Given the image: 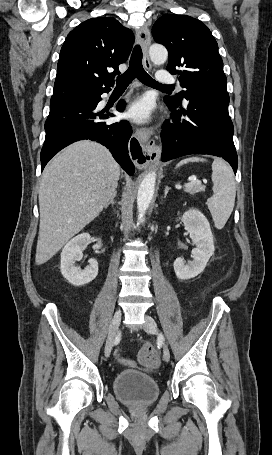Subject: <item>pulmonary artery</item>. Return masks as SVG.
I'll list each match as a JSON object with an SVG mask.
<instances>
[{"mask_svg":"<svg viewBox=\"0 0 272 455\" xmlns=\"http://www.w3.org/2000/svg\"><path fill=\"white\" fill-rule=\"evenodd\" d=\"M157 82L161 84H172L175 83V78L167 71H159L157 74Z\"/></svg>","mask_w":272,"mask_h":455,"instance_id":"1","label":"pulmonary artery"}]
</instances>
